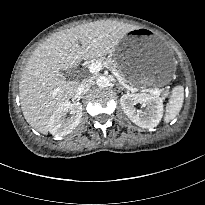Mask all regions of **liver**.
<instances>
[{
  "label": "liver",
  "instance_id": "liver-1",
  "mask_svg": "<svg viewBox=\"0 0 205 205\" xmlns=\"http://www.w3.org/2000/svg\"><path fill=\"white\" fill-rule=\"evenodd\" d=\"M137 26L101 20L57 32L31 55L19 83L21 109L31 127L47 134L51 114L74 97L78 81H66L62 70L112 53L119 41ZM79 43L81 45H79Z\"/></svg>",
  "mask_w": 205,
  "mask_h": 205
}]
</instances>
